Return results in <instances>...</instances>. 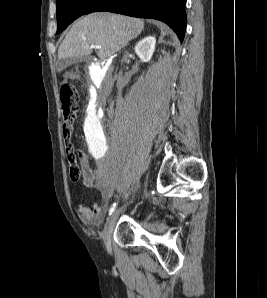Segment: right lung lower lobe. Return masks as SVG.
Returning <instances> with one entry per match:
<instances>
[{
  "instance_id": "98d812e1",
  "label": "right lung lower lobe",
  "mask_w": 267,
  "mask_h": 298,
  "mask_svg": "<svg viewBox=\"0 0 267 298\" xmlns=\"http://www.w3.org/2000/svg\"><path fill=\"white\" fill-rule=\"evenodd\" d=\"M185 3L186 0H103L92 12L109 11L157 19L169 25L183 41L186 29Z\"/></svg>"
}]
</instances>
